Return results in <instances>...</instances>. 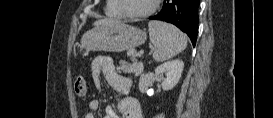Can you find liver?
Here are the masks:
<instances>
[{"instance_id":"liver-1","label":"liver","mask_w":273,"mask_h":118,"mask_svg":"<svg viewBox=\"0 0 273 118\" xmlns=\"http://www.w3.org/2000/svg\"><path fill=\"white\" fill-rule=\"evenodd\" d=\"M114 21L112 20H108V19H102V20H97L94 25L95 26H101V25H107V24H110V23H113Z\"/></svg>"}]
</instances>
